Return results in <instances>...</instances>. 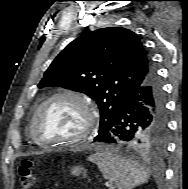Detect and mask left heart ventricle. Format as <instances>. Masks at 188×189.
<instances>
[{"label": "left heart ventricle", "instance_id": "left-heart-ventricle-1", "mask_svg": "<svg viewBox=\"0 0 188 189\" xmlns=\"http://www.w3.org/2000/svg\"><path fill=\"white\" fill-rule=\"evenodd\" d=\"M86 119V113L77 101L70 98L55 100L39 119L38 136L47 142L73 138L82 131Z\"/></svg>", "mask_w": 188, "mask_h": 189}]
</instances>
